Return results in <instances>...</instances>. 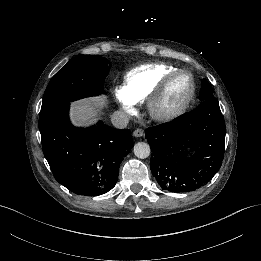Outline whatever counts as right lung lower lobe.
I'll return each instance as SVG.
<instances>
[{"instance_id":"right-lung-lower-lobe-1","label":"right lung lower lobe","mask_w":261,"mask_h":261,"mask_svg":"<svg viewBox=\"0 0 261 261\" xmlns=\"http://www.w3.org/2000/svg\"><path fill=\"white\" fill-rule=\"evenodd\" d=\"M69 105L56 103L40 112L44 156L55 179L74 194H104L115 186L119 165L133 147L130 130H116L102 122L76 128L68 118Z\"/></svg>"}]
</instances>
